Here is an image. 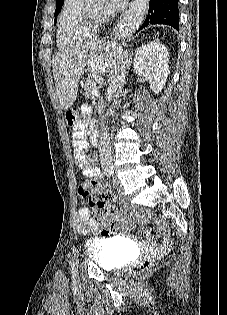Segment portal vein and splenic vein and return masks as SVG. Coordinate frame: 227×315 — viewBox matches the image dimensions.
Wrapping results in <instances>:
<instances>
[{"instance_id":"obj_1","label":"portal vein and splenic vein","mask_w":227,"mask_h":315,"mask_svg":"<svg viewBox=\"0 0 227 315\" xmlns=\"http://www.w3.org/2000/svg\"><path fill=\"white\" fill-rule=\"evenodd\" d=\"M91 94H92V96H97L98 95V91L97 90H93Z\"/></svg>"}]
</instances>
